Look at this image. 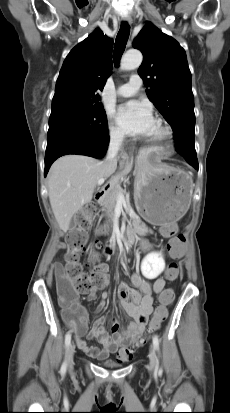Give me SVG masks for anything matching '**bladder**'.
Returning a JSON list of instances; mask_svg holds the SVG:
<instances>
[{
    "label": "bladder",
    "instance_id": "31cf9c89",
    "mask_svg": "<svg viewBox=\"0 0 230 413\" xmlns=\"http://www.w3.org/2000/svg\"><path fill=\"white\" fill-rule=\"evenodd\" d=\"M101 364H102L103 366L109 367V368H116V367L119 366L116 362H114V361H112V360H103V361L101 362Z\"/></svg>",
    "mask_w": 230,
    "mask_h": 413
}]
</instances>
